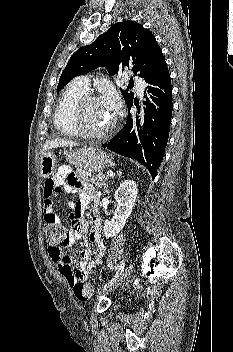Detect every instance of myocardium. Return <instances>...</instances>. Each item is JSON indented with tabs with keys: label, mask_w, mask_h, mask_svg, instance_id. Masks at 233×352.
<instances>
[{
	"label": "myocardium",
	"mask_w": 233,
	"mask_h": 352,
	"mask_svg": "<svg viewBox=\"0 0 233 352\" xmlns=\"http://www.w3.org/2000/svg\"><path fill=\"white\" fill-rule=\"evenodd\" d=\"M94 100H100V97L91 94V93H85L83 96H81L78 101L76 102L73 111H72V124L73 127L75 128L76 132L78 135L87 137V138H101L106 135H108L116 126V117L113 118L112 123L105 129L100 130V131H92L87 129L84 124H83V110L85 105Z\"/></svg>",
	"instance_id": "myocardium-1"
}]
</instances>
